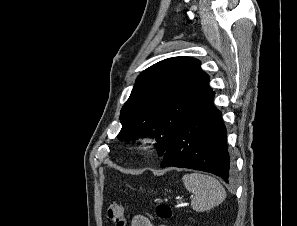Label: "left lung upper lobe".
Instances as JSON below:
<instances>
[{"label":"left lung upper lobe","mask_w":297,"mask_h":226,"mask_svg":"<svg viewBox=\"0 0 297 226\" xmlns=\"http://www.w3.org/2000/svg\"><path fill=\"white\" fill-rule=\"evenodd\" d=\"M200 61L189 57L162 60L143 71L121 109L120 140L155 136L164 156L176 132L197 103L212 90Z\"/></svg>","instance_id":"5c2ea615"}]
</instances>
